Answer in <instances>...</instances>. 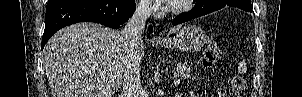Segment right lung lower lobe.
<instances>
[{"mask_svg": "<svg viewBox=\"0 0 302 97\" xmlns=\"http://www.w3.org/2000/svg\"><path fill=\"white\" fill-rule=\"evenodd\" d=\"M134 11V0H49L41 49L55 32L67 25L95 22L116 29L128 21Z\"/></svg>", "mask_w": 302, "mask_h": 97, "instance_id": "98d812e1", "label": "right lung lower lobe"}]
</instances>
